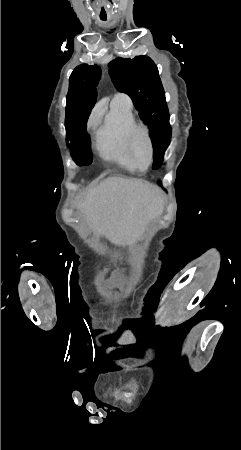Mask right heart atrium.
<instances>
[{
	"label": "right heart atrium",
	"mask_w": 241,
	"mask_h": 450,
	"mask_svg": "<svg viewBox=\"0 0 241 450\" xmlns=\"http://www.w3.org/2000/svg\"><path fill=\"white\" fill-rule=\"evenodd\" d=\"M91 122H92V123H95V122H96V119H95V118H92V119H91Z\"/></svg>",
	"instance_id": "obj_1"
}]
</instances>
